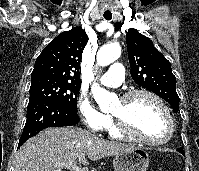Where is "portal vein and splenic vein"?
Returning <instances> with one entry per match:
<instances>
[{"instance_id": "18ae733b", "label": "portal vein and splenic vein", "mask_w": 199, "mask_h": 171, "mask_svg": "<svg viewBox=\"0 0 199 171\" xmlns=\"http://www.w3.org/2000/svg\"><path fill=\"white\" fill-rule=\"evenodd\" d=\"M61 168H67L70 171H86L85 169L76 165V162H69L66 164H61Z\"/></svg>"}]
</instances>
